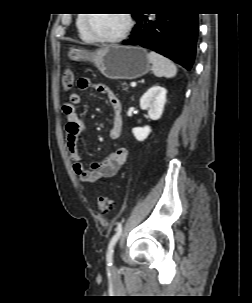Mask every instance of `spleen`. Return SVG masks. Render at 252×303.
Instances as JSON below:
<instances>
[{
    "instance_id": "obj_1",
    "label": "spleen",
    "mask_w": 252,
    "mask_h": 303,
    "mask_svg": "<svg viewBox=\"0 0 252 303\" xmlns=\"http://www.w3.org/2000/svg\"><path fill=\"white\" fill-rule=\"evenodd\" d=\"M148 59L152 64V71L155 76L165 78L176 76L177 67L169 59L153 51L148 54Z\"/></svg>"
}]
</instances>
